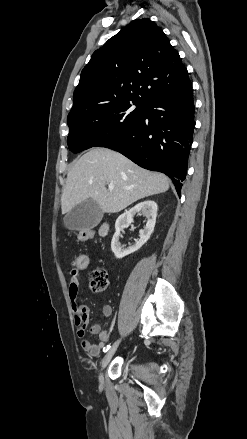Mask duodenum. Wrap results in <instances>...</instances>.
Segmentation results:
<instances>
[{
  "instance_id": "obj_1",
  "label": "duodenum",
  "mask_w": 247,
  "mask_h": 439,
  "mask_svg": "<svg viewBox=\"0 0 247 439\" xmlns=\"http://www.w3.org/2000/svg\"><path fill=\"white\" fill-rule=\"evenodd\" d=\"M108 232H109V225H108V224H103V225L100 227V230H99L100 235H101V236H105V235L108 234Z\"/></svg>"
}]
</instances>
